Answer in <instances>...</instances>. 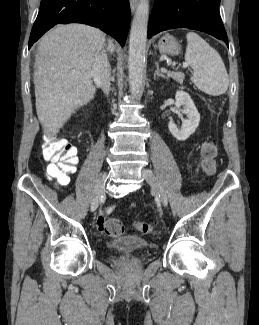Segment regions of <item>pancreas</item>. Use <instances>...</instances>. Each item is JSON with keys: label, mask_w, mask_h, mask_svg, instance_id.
<instances>
[{"label": "pancreas", "mask_w": 259, "mask_h": 325, "mask_svg": "<svg viewBox=\"0 0 259 325\" xmlns=\"http://www.w3.org/2000/svg\"><path fill=\"white\" fill-rule=\"evenodd\" d=\"M167 76L171 77L172 79H174L178 83L183 84V80H184V74L183 73H181V72H168Z\"/></svg>", "instance_id": "pancreas-1"}]
</instances>
